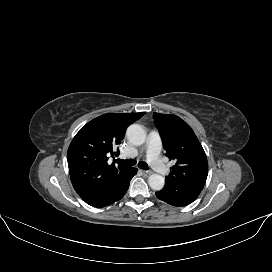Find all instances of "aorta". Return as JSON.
Listing matches in <instances>:
<instances>
[{
  "label": "aorta",
  "mask_w": 272,
  "mask_h": 272,
  "mask_svg": "<svg viewBox=\"0 0 272 272\" xmlns=\"http://www.w3.org/2000/svg\"><path fill=\"white\" fill-rule=\"evenodd\" d=\"M126 135L128 140L136 146L142 145L146 139V132L139 124H132L127 128ZM149 186L155 190L160 191L163 189L165 179L159 174H151L148 178Z\"/></svg>",
  "instance_id": "obj_1"
}]
</instances>
